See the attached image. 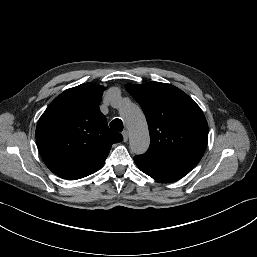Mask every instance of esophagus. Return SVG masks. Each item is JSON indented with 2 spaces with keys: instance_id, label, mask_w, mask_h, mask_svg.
Listing matches in <instances>:
<instances>
[{
  "instance_id": "1",
  "label": "esophagus",
  "mask_w": 257,
  "mask_h": 257,
  "mask_svg": "<svg viewBox=\"0 0 257 257\" xmlns=\"http://www.w3.org/2000/svg\"><path fill=\"white\" fill-rule=\"evenodd\" d=\"M122 136H123V141H124V142H127V140H128V133H127L126 130H124V131L122 132Z\"/></svg>"
}]
</instances>
